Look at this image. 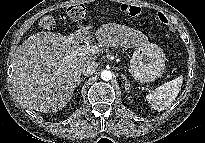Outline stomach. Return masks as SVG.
Returning a JSON list of instances; mask_svg holds the SVG:
<instances>
[{
    "instance_id": "obj_1",
    "label": "stomach",
    "mask_w": 205,
    "mask_h": 143,
    "mask_svg": "<svg viewBox=\"0 0 205 143\" xmlns=\"http://www.w3.org/2000/svg\"><path fill=\"white\" fill-rule=\"evenodd\" d=\"M130 67L136 80L149 83L161 77L165 68V54L153 43H144L135 48Z\"/></svg>"
}]
</instances>
